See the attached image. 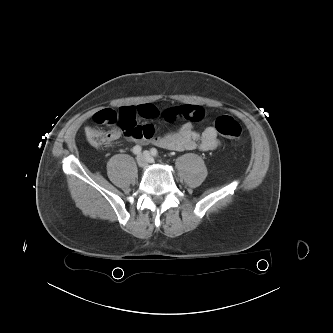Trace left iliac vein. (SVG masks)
<instances>
[{
    "mask_svg": "<svg viewBox=\"0 0 333 333\" xmlns=\"http://www.w3.org/2000/svg\"><path fill=\"white\" fill-rule=\"evenodd\" d=\"M144 155L146 156L147 161H148L149 163H153V162H154V158L150 155V153H149L148 151H145V152H144Z\"/></svg>",
    "mask_w": 333,
    "mask_h": 333,
    "instance_id": "obj_1",
    "label": "left iliac vein"
}]
</instances>
